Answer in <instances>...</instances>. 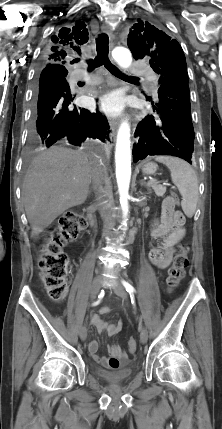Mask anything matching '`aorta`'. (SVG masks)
Returning a JSON list of instances; mask_svg holds the SVG:
<instances>
[{
	"label": "aorta",
	"instance_id": "obj_1",
	"mask_svg": "<svg viewBox=\"0 0 222 429\" xmlns=\"http://www.w3.org/2000/svg\"><path fill=\"white\" fill-rule=\"evenodd\" d=\"M112 56L122 68H128L132 63V56L128 49L117 47L113 50ZM130 125L127 120L120 124L115 151L116 179L120 203L124 213V222L126 225V216L128 213L129 185L131 179V148H130Z\"/></svg>",
	"mask_w": 222,
	"mask_h": 429
}]
</instances>
